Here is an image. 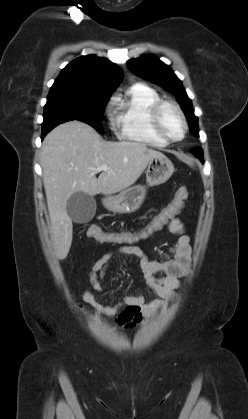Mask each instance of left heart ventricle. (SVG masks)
I'll list each match as a JSON object with an SVG mask.
<instances>
[{
	"label": "left heart ventricle",
	"mask_w": 248,
	"mask_h": 419,
	"mask_svg": "<svg viewBox=\"0 0 248 419\" xmlns=\"http://www.w3.org/2000/svg\"><path fill=\"white\" fill-rule=\"evenodd\" d=\"M160 123L163 131L171 138L177 139L182 135L183 124L176 112L171 106H164L160 113Z\"/></svg>",
	"instance_id": "b2bd125f"
}]
</instances>
